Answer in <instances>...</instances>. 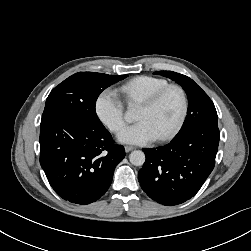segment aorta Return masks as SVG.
I'll use <instances>...</instances> for the list:
<instances>
[{
    "label": "aorta",
    "instance_id": "1",
    "mask_svg": "<svg viewBox=\"0 0 251 251\" xmlns=\"http://www.w3.org/2000/svg\"><path fill=\"white\" fill-rule=\"evenodd\" d=\"M129 160L134 166H142L145 162V154L143 151L134 150L130 153Z\"/></svg>",
    "mask_w": 251,
    "mask_h": 251
}]
</instances>
